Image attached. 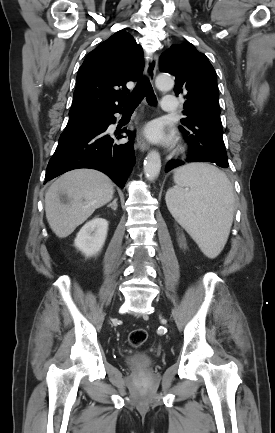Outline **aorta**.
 I'll return each instance as SVG.
<instances>
[{
	"mask_svg": "<svg viewBox=\"0 0 275 433\" xmlns=\"http://www.w3.org/2000/svg\"><path fill=\"white\" fill-rule=\"evenodd\" d=\"M156 86L159 89L169 90L174 86V80L171 75L160 74L156 78ZM161 170V158L157 151H150L144 162V173L148 180H154L158 177Z\"/></svg>",
	"mask_w": 275,
	"mask_h": 433,
	"instance_id": "1",
	"label": "aorta"
}]
</instances>
